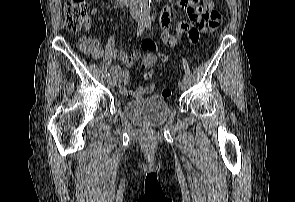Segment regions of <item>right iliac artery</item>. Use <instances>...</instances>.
<instances>
[{
  "label": "right iliac artery",
  "instance_id": "1",
  "mask_svg": "<svg viewBox=\"0 0 295 202\" xmlns=\"http://www.w3.org/2000/svg\"><path fill=\"white\" fill-rule=\"evenodd\" d=\"M145 26H146L145 22H139L138 29H137V36H140L143 33ZM106 77L107 79L111 78L110 73H108Z\"/></svg>",
  "mask_w": 295,
  "mask_h": 202
}]
</instances>
